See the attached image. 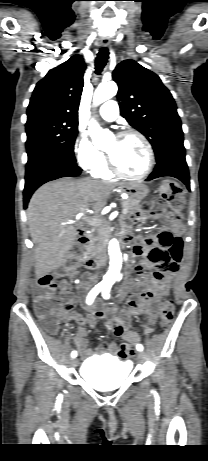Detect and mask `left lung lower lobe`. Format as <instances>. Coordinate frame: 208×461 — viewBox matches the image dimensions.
<instances>
[{"mask_svg": "<svg viewBox=\"0 0 208 461\" xmlns=\"http://www.w3.org/2000/svg\"><path fill=\"white\" fill-rule=\"evenodd\" d=\"M171 176L181 180L190 190V179L188 166L185 160V149H173L168 151L157 160V165L154 171L146 179H152Z\"/></svg>", "mask_w": 208, "mask_h": 461, "instance_id": "obj_1", "label": "left lung lower lobe"}]
</instances>
